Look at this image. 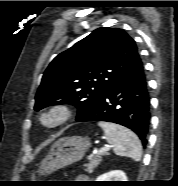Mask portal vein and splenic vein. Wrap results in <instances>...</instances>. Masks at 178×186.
Returning <instances> with one entry per match:
<instances>
[{
    "instance_id": "18ae733b",
    "label": "portal vein and splenic vein",
    "mask_w": 178,
    "mask_h": 186,
    "mask_svg": "<svg viewBox=\"0 0 178 186\" xmlns=\"http://www.w3.org/2000/svg\"><path fill=\"white\" fill-rule=\"evenodd\" d=\"M110 149V146L106 145L105 147H102L99 151L98 154L102 155L105 152H107Z\"/></svg>"
}]
</instances>
